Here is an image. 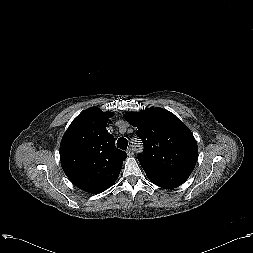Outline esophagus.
<instances>
[{
  "mask_svg": "<svg viewBox=\"0 0 253 253\" xmlns=\"http://www.w3.org/2000/svg\"><path fill=\"white\" fill-rule=\"evenodd\" d=\"M126 152L128 156H132L134 154L133 149L131 147H129Z\"/></svg>",
  "mask_w": 253,
  "mask_h": 253,
  "instance_id": "34e87169",
  "label": "esophagus"
}]
</instances>
